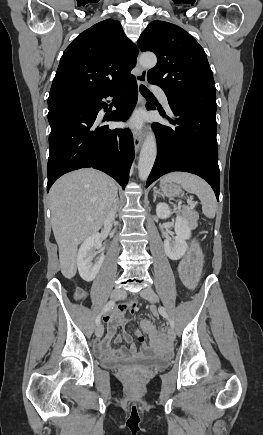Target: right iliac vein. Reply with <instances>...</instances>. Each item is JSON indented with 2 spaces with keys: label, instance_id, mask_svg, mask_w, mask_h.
<instances>
[{
  "label": "right iliac vein",
  "instance_id": "1",
  "mask_svg": "<svg viewBox=\"0 0 263 435\" xmlns=\"http://www.w3.org/2000/svg\"><path fill=\"white\" fill-rule=\"evenodd\" d=\"M126 296V292L121 289V288H115L110 295L111 300H118L121 298H124ZM104 333V328L102 325H99L96 330H95V334L97 337H102Z\"/></svg>",
  "mask_w": 263,
  "mask_h": 435
}]
</instances>
